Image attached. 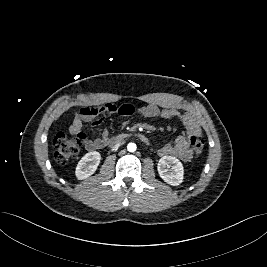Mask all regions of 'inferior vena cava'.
<instances>
[{"label":"inferior vena cava","instance_id":"inferior-vena-cava-1","mask_svg":"<svg viewBox=\"0 0 267 267\" xmlns=\"http://www.w3.org/2000/svg\"><path fill=\"white\" fill-rule=\"evenodd\" d=\"M122 144H124V140L118 139V140H115L114 142H112L110 147L113 149H118V147L121 146Z\"/></svg>","mask_w":267,"mask_h":267}]
</instances>
